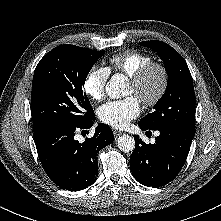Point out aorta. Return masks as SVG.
Wrapping results in <instances>:
<instances>
[{"label": "aorta", "mask_w": 221, "mask_h": 221, "mask_svg": "<svg viewBox=\"0 0 221 221\" xmlns=\"http://www.w3.org/2000/svg\"><path fill=\"white\" fill-rule=\"evenodd\" d=\"M127 80L122 74L111 77L106 85V93L112 99H118L126 95ZM118 148L125 153L131 152L135 148V140L132 136L122 135L117 139Z\"/></svg>", "instance_id": "aorta-1"}]
</instances>
